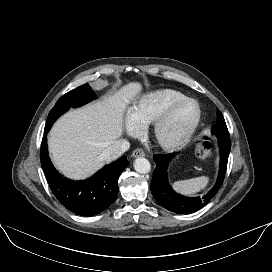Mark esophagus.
Here are the masks:
<instances>
[{
	"instance_id": "esophagus-1",
	"label": "esophagus",
	"mask_w": 272,
	"mask_h": 272,
	"mask_svg": "<svg viewBox=\"0 0 272 272\" xmlns=\"http://www.w3.org/2000/svg\"><path fill=\"white\" fill-rule=\"evenodd\" d=\"M145 155L144 151L142 149H135L132 152V157L136 158V157H143Z\"/></svg>"
}]
</instances>
